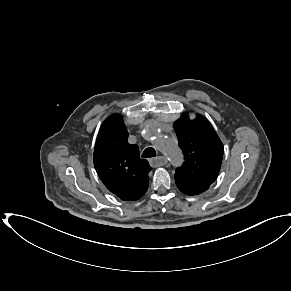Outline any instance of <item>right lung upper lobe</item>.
<instances>
[{
  "label": "right lung upper lobe",
  "mask_w": 291,
  "mask_h": 291,
  "mask_svg": "<svg viewBox=\"0 0 291 291\" xmlns=\"http://www.w3.org/2000/svg\"><path fill=\"white\" fill-rule=\"evenodd\" d=\"M122 117L109 116L102 124L94 149L96 172L109 191L122 200L141 198L149 185L148 161L139 157L137 145L128 143Z\"/></svg>",
  "instance_id": "obj_1"
}]
</instances>
